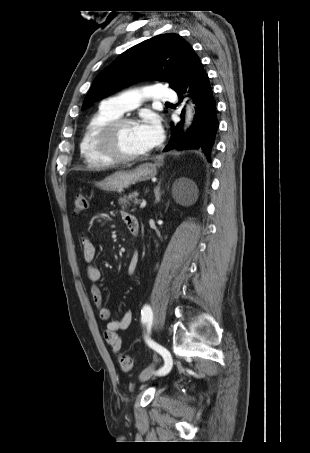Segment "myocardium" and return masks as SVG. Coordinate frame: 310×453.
<instances>
[{
	"mask_svg": "<svg viewBox=\"0 0 310 453\" xmlns=\"http://www.w3.org/2000/svg\"><path fill=\"white\" fill-rule=\"evenodd\" d=\"M130 124H137V120L131 117H118L105 125L97 134L96 147L107 159L114 163H131L141 160L149 155L148 152L136 155H123L116 148V138L119 131Z\"/></svg>",
	"mask_w": 310,
	"mask_h": 453,
	"instance_id": "obj_1",
	"label": "myocardium"
}]
</instances>
